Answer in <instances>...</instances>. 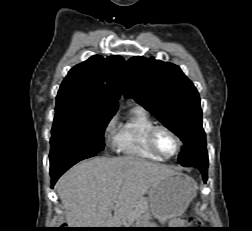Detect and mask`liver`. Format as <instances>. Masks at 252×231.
I'll use <instances>...</instances> for the list:
<instances>
[{"label":"liver","mask_w":252,"mask_h":231,"mask_svg":"<svg viewBox=\"0 0 252 231\" xmlns=\"http://www.w3.org/2000/svg\"><path fill=\"white\" fill-rule=\"evenodd\" d=\"M174 173L133 156L95 157L72 167L56 188L71 228H120L140 218L142 197Z\"/></svg>","instance_id":"obj_1"}]
</instances>
